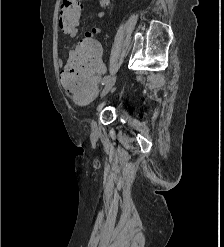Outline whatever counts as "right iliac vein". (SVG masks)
I'll list each match as a JSON object with an SVG mask.
<instances>
[{"label":"right iliac vein","instance_id":"1","mask_svg":"<svg viewBox=\"0 0 224 247\" xmlns=\"http://www.w3.org/2000/svg\"><path fill=\"white\" fill-rule=\"evenodd\" d=\"M116 82V77H112L109 79V81L106 83L104 89L102 90L101 93V98L104 97L106 94H108V92L113 88V86L115 85ZM96 122L94 120L91 121V128L93 130H96Z\"/></svg>","mask_w":224,"mask_h":247}]
</instances>
